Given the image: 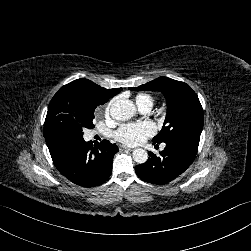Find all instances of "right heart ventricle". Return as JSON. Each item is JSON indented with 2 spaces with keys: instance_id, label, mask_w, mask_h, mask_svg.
Wrapping results in <instances>:
<instances>
[{
  "instance_id": "right-heart-ventricle-1",
  "label": "right heart ventricle",
  "mask_w": 251,
  "mask_h": 251,
  "mask_svg": "<svg viewBox=\"0 0 251 251\" xmlns=\"http://www.w3.org/2000/svg\"><path fill=\"white\" fill-rule=\"evenodd\" d=\"M135 100L138 107L145 104H151V106L153 105V98L148 94L140 93L136 96Z\"/></svg>"
}]
</instances>
